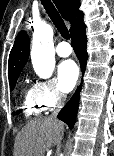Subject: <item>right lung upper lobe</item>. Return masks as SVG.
Listing matches in <instances>:
<instances>
[{
	"label": "right lung upper lobe",
	"instance_id": "1",
	"mask_svg": "<svg viewBox=\"0 0 114 156\" xmlns=\"http://www.w3.org/2000/svg\"><path fill=\"white\" fill-rule=\"evenodd\" d=\"M60 14L71 23L70 33L82 24L83 13L79 10V0H53ZM29 57V37L21 31L16 37L10 52L8 62V76L19 75Z\"/></svg>",
	"mask_w": 114,
	"mask_h": 156
}]
</instances>
